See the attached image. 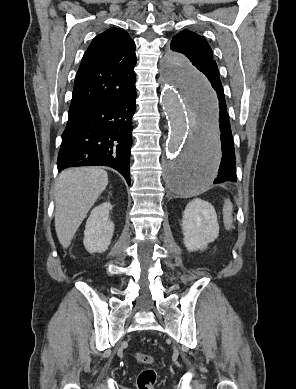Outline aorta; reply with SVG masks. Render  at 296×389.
<instances>
[{
  "mask_svg": "<svg viewBox=\"0 0 296 389\" xmlns=\"http://www.w3.org/2000/svg\"><path fill=\"white\" fill-rule=\"evenodd\" d=\"M161 75L162 105L169 124L166 186L195 195L209 189L221 160L218 93L212 81L178 53L164 57Z\"/></svg>",
  "mask_w": 296,
  "mask_h": 389,
  "instance_id": "1",
  "label": "aorta"
}]
</instances>
